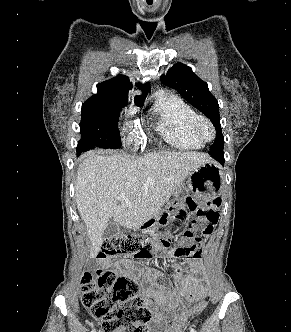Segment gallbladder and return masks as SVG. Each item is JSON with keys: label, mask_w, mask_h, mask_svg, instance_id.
I'll use <instances>...</instances> for the list:
<instances>
[{"label": "gallbladder", "mask_w": 291, "mask_h": 332, "mask_svg": "<svg viewBox=\"0 0 291 332\" xmlns=\"http://www.w3.org/2000/svg\"><path fill=\"white\" fill-rule=\"evenodd\" d=\"M119 226L113 222L110 221L107 223L104 231H103V239L104 240H109L119 234Z\"/></svg>", "instance_id": "1"}]
</instances>
